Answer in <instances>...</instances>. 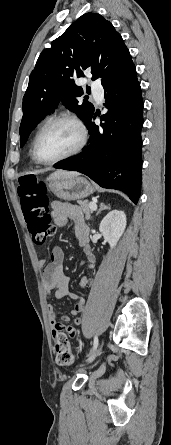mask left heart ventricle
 <instances>
[{
  "label": "left heart ventricle",
  "mask_w": 171,
  "mask_h": 445,
  "mask_svg": "<svg viewBox=\"0 0 171 445\" xmlns=\"http://www.w3.org/2000/svg\"><path fill=\"white\" fill-rule=\"evenodd\" d=\"M79 141L77 128L67 122L50 125L38 142V154L44 160H54L70 152Z\"/></svg>",
  "instance_id": "1"
}]
</instances>
